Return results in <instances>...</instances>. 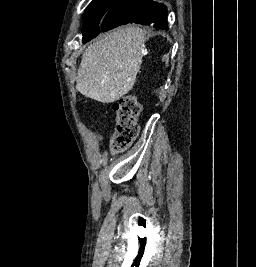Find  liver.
<instances>
[{
	"label": "liver",
	"mask_w": 256,
	"mask_h": 267,
	"mask_svg": "<svg viewBox=\"0 0 256 267\" xmlns=\"http://www.w3.org/2000/svg\"><path fill=\"white\" fill-rule=\"evenodd\" d=\"M144 32L122 26L83 52L76 90L97 102H116L132 90L143 58Z\"/></svg>",
	"instance_id": "obj_1"
}]
</instances>
